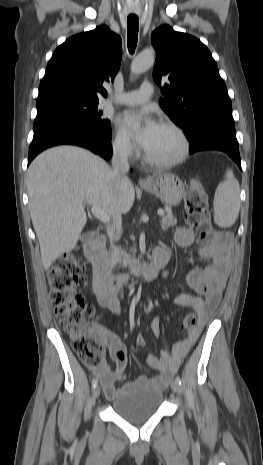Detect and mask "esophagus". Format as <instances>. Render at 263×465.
Returning a JSON list of instances; mask_svg holds the SVG:
<instances>
[{
    "instance_id": "1",
    "label": "esophagus",
    "mask_w": 263,
    "mask_h": 465,
    "mask_svg": "<svg viewBox=\"0 0 263 465\" xmlns=\"http://www.w3.org/2000/svg\"><path fill=\"white\" fill-rule=\"evenodd\" d=\"M149 182H150V181H149L148 179H146V178H140V179H139V184H140V185H146V184H148Z\"/></svg>"
}]
</instances>
